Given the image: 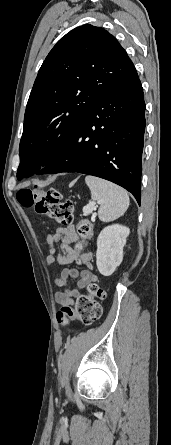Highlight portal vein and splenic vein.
<instances>
[{"instance_id":"18ae733b","label":"portal vein and splenic vein","mask_w":171,"mask_h":445,"mask_svg":"<svg viewBox=\"0 0 171 445\" xmlns=\"http://www.w3.org/2000/svg\"><path fill=\"white\" fill-rule=\"evenodd\" d=\"M95 208H96L95 203L91 204V205H88V206H85L83 208V213L85 215L90 214V213H92L93 210H95Z\"/></svg>"}]
</instances>
